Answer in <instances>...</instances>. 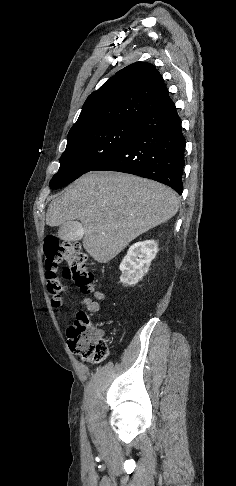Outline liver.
Here are the masks:
<instances>
[{
  "mask_svg": "<svg viewBox=\"0 0 236 486\" xmlns=\"http://www.w3.org/2000/svg\"><path fill=\"white\" fill-rule=\"evenodd\" d=\"M178 208L175 191L161 183L120 172H89L51 201L46 224L80 220L84 249L95 261L108 263Z\"/></svg>",
  "mask_w": 236,
  "mask_h": 486,
  "instance_id": "obj_1",
  "label": "liver"
}]
</instances>
